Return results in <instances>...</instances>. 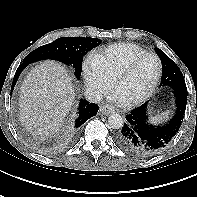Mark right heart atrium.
<instances>
[{"label": "right heart atrium", "mask_w": 197, "mask_h": 197, "mask_svg": "<svg viewBox=\"0 0 197 197\" xmlns=\"http://www.w3.org/2000/svg\"><path fill=\"white\" fill-rule=\"evenodd\" d=\"M84 79L88 92L95 99L106 95L113 85V80L95 68L91 62L84 67Z\"/></svg>", "instance_id": "right-heart-atrium-1"}]
</instances>
